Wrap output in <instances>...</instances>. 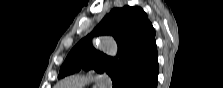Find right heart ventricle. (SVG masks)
<instances>
[{
  "label": "right heart ventricle",
  "instance_id": "obj_1",
  "mask_svg": "<svg viewBox=\"0 0 223 88\" xmlns=\"http://www.w3.org/2000/svg\"><path fill=\"white\" fill-rule=\"evenodd\" d=\"M54 88H63V87H61L60 85H57L56 87H54Z\"/></svg>",
  "mask_w": 223,
  "mask_h": 88
}]
</instances>
